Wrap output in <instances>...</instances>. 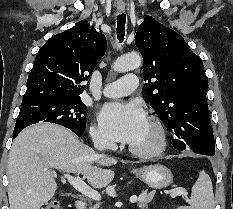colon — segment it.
Segmentation results:
<instances>
[{
  "instance_id": "1",
  "label": "colon",
  "mask_w": 233,
  "mask_h": 209,
  "mask_svg": "<svg viewBox=\"0 0 233 209\" xmlns=\"http://www.w3.org/2000/svg\"><path fill=\"white\" fill-rule=\"evenodd\" d=\"M41 209H60V203L57 200H52L46 203Z\"/></svg>"
}]
</instances>
